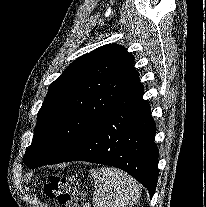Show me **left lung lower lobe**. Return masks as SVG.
Wrapping results in <instances>:
<instances>
[{"label": "left lung lower lobe", "instance_id": "0a47b994", "mask_svg": "<svg viewBox=\"0 0 206 207\" xmlns=\"http://www.w3.org/2000/svg\"><path fill=\"white\" fill-rule=\"evenodd\" d=\"M139 78L104 112L83 144L55 163L87 161L120 168L138 180L152 198L158 179V148L151 107Z\"/></svg>", "mask_w": 206, "mask_h": 207}]
</instances>
